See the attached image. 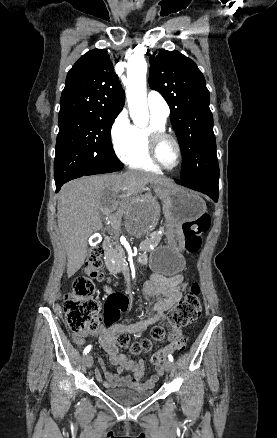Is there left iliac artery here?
Here are the masks:
<instances>
[{
	"instance_id": "obj_1",
	"label": "left iliac artery",
	"mask_w": 277,
	"mask_h": 438,
	"mask_svg": "<svg viewBox=\"0 0 277 438\" xmlns=\"http://www.w3.org/2000/svg\"><path fill=\"white\" fill-rule=\"evenodd\" d=\"M168 359H169V361H171V362H173V360H174V359H173V356H172L171 354L168 355Z\"/></svg>"
}]
</instances>
